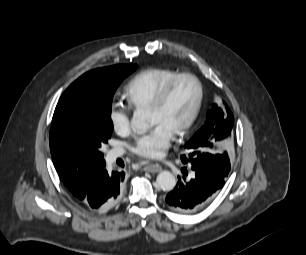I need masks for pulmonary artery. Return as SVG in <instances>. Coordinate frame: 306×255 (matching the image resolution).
<instances>
[{
	"label": "pulmonary artery",
	"instance_id": "pulmonary-artery-1",
	"mask_svg": "<svg viewBox=\"0 0 306 255\" xmlns=\"http://www.w3.org/2000/svg\"><path fill=\"white\" fill-rule=\"evenodd\" d=\"M122 154V151L120 150H112L109 153V160L112 161L114 159H116L117 157H119Z\"/></svg>",
	"mask_w": 306,
	"mask_h": 255
}]
</instances>
